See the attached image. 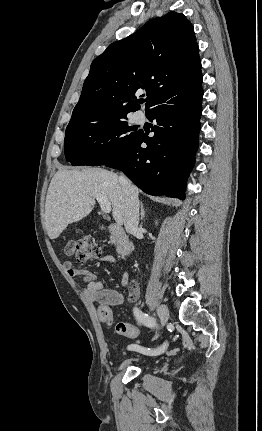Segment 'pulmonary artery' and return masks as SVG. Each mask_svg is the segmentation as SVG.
<instances>
[{"label": "pulmonary artery", "instance_id": "1", "mask_svg": "<svg viewBox=\"0 0 262 431\" xmlns=\"http://www.w3.org/2000/svg\"><path fill=\"white\" fill-rule=\"evenodd\" d=\"M136 119H137V120H140V119H141V117H140V116H137V117H136Z\"/></svg>", "mask_w": 262, "mask_h": 431}]
</instances>
